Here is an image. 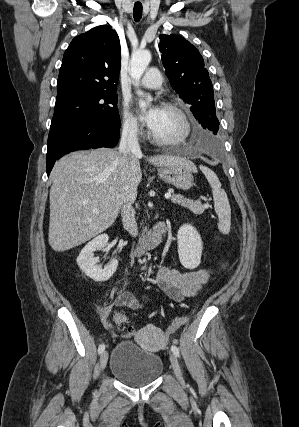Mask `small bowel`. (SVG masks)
Instances as JSON below:
<instances>
[{"instance_id":"1","label":"small bowel","mask_w":299,"mask_h":427,"mask_svg":"<svg viewBox=\"0 0 299 427\" xmlns=\"http://www.w3.org/2000/svg\"><path fill=\"white\" fill-rule=\"evenodd\" d=\"M211 274L212 270L210 268L179 271L162 266L157 272L156 284L168 297L175 301H180L186 297L194 296L200 287L210 278ZM114 305L131 310H137L143 306L127 290L122 291L117 296ZM101 317L105 327L113 330L114 326L110 307H106L101 311Z\"/></svg>"}]
</instances>
